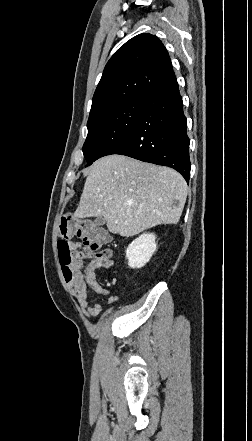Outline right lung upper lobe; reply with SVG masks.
<instances>
[{"label": "right lung upper lobe", "instance_id": "cb5924a9", "mask_svg": "<svg viewBox=\"0 0 252 441\" xmlns=\"http://www.w3.org/2000/svg\"><path fill=\"white\" fill-rule=\"evenodd\" d=\"M175 77L169 54L154 35H137L106 64L92 99L90 116L113 105L144 98Z\"/></svg>", "mask_w": 252, "mask_h": 441}]
</instances>
